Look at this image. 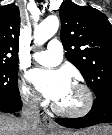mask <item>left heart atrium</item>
<instances>
[{"label":"left heart atrium","mask_w":112,"mask_h":135,"mask_svg":"<svg viewBox=\"0 0 112 135\" xmlns=\"http://www.w3.org/2000/svg\"><path fill=\"white\" fill-rule=\"evenodd\" d=\"M28 78L36 88L48 99L60 100L71 86L69 75L63 70L34 69Z\"/></svg>","instance_id":"39dd6f15"}]
</instances>
